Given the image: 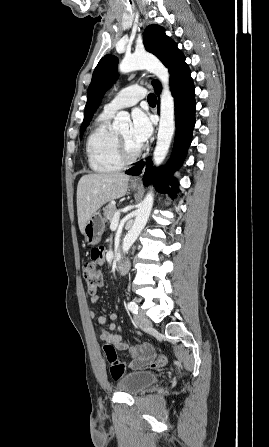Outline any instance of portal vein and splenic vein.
Segmentation results:
<instances>
[{"mask_svg": "<svg viewBox=\"0 0 269 447\" xmlns=\"http://www.w3.org/2000/svg\"><path fill=\"white\" fill-rule=\"evenodd\" d=\"M122 207H125V204H122V206H119V209H122ZM121 220H120V212H115L114 216H113V220L110 224V229H112V231H115V229H117V226L120 225Z\"/></svg>", "mask_w": 269, "mask_h": 447, "instance_id": "obj_1", "label": "portal vein and splenic vein"}]
</instances>
